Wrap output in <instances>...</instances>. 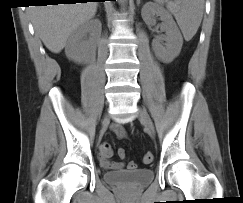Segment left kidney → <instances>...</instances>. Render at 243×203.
I'll return each instance as SVG.
<instances>
[{"mask_svg": "<svg viewBox=\"0 0 243 203\" xmlns=\"http://www.w3.org/2000/svg\"><path fill=\"white\" fill-rule=\"evenodd\" d=\"M141 15L147 25H154L155 16L162 20L161 30L166 32V36L156 38L152 45L156 56L163 63H171L179 55L183 44L182 35L172 16L163 7L151 2L143 6ZM162 40L166 42L165 46L161 44Z\"/></svg>", "mask_w": 243, "mask_h": 203, "instance_id": "1", "label": "left kidney"}]
</instances>
